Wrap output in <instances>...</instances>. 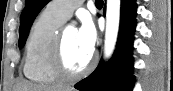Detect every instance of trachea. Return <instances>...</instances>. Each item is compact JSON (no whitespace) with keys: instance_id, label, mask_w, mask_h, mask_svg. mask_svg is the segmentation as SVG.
Listing matches in <instances>:
<instances>
[{"instance_id":"trachea-1","label":"trachea","mask_w":173,"mask_h":91,"mask_svg":"<svg viewBox=\"0 0 173 91\" xmlns=\"http://www.w3.org/2000/svg\"><path fill=\"white\" fill-rule=\"evenodd\" d=\"M95 5L96 6H102L103 5V0H96Z\"/></svg>"}]
</instances>
